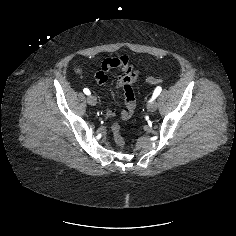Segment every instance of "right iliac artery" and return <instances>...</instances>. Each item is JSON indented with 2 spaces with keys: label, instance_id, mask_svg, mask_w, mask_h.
Wrapping results in <instances>:
<instances>
[{
  "label": "right iliac artery",
  "instance_id": "1",
  "mask_svg": "<svg viewBox=\"0 0 236 236\" xmlns=\"http://www.w3.org/2000/svg\"><path fill=\"white\" fill-rule=\"evenodd\" d=\"M83 92H84L86 95H90V94H91V93H90V90L87 89V88H84V89H83Z\"/></svg>",
  "mask_w": 236,
  "mask_h": 236
}]
</instances>
